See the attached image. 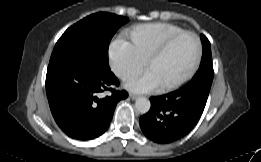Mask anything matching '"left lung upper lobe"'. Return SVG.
<instances>
[{"mask_svg": "<svg viewBox=\"0 0 261 162\" xmlns=\"http://www.w3.org/2000/svg\"><path fill=\"white\" fill-rule=\"evenodd\" d=\"M200 38L203 45V54H202L200 67L193 78L200 77V76L213 77L214 71H213V64H212L210 42L204 35H201Z\"/></svg>", "mask_w": 261, "mask_h": 162, "instance_id": "left-lung-upper-lobe-1", "label": "left lung upper lobe"}]
</instances>
